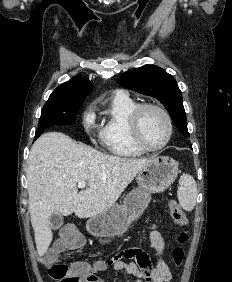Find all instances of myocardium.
I'll use <instances>...</instances> for the list:
<instances>
[{
    "mask_svg": "<svg viewBox=\"0 0 232 282\" xmlns=\"http://www.w3.org/2000/svg\"><path fill=\"white\" fill-rule=\"evenodd\" d=\"M147 109H153L159 112L165 119L168 127V134L164 142L157 146L148 145L142 138L140 132V120L143 112ZM129 133L133 143L146 152L158 151L166 147L172 139L174 133V126L172 118L169 113L160 105L154 103H141L138 104L130 113L128 118Z\"/></svg>",
    "mask_w": 232,
    "mask_h": 282,
    "instance_id": "f54148a6",
    "label": "myocardium"
}]
</instances>
